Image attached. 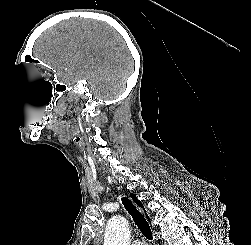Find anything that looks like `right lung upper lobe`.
<instances>
[{"mask_svg": "<svg viewBox=\"0 0 251 245\" xmlns=\"http://www.w3.org/2000/svg\"><path fill=\"white\" fill-rule=\"evenodd\" d=\"M131 198L133 199V201L140 207L143 208L142 203L137 199V197L134 194H130Z\"/></svg>", "mask_w": 251, "mask_h": 245, "instance_id": "1", "label": "right lung upper lobe"}]
</instances>
